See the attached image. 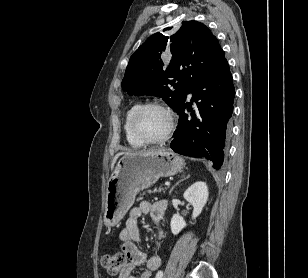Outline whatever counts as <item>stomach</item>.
<instances>
[{
	"label": "stomach",
	"instance_id": "stomach-1",
	"mask_svg": "<svg viewBox=\"0 0 308 278\" xmlns=\"http://www.w3.org/2000/svg\"><path fill=\"white\" fill-rule=\"evenodd\" d=\"M184 160L173 152L151 150L125 154L117 163L107 184L104 225L115 226L134 203L135 196L160 177L180 172Z\"/></svg>",
	"mask_w": 308,
	"mask_h": 278
}]
</instances>
